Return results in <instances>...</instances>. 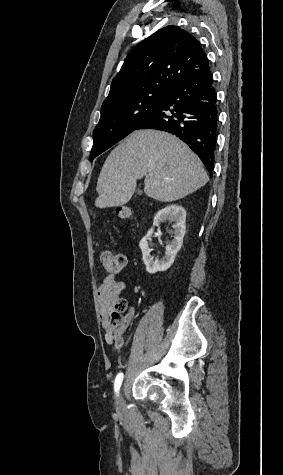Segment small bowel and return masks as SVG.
Instances as JSON below:
<instances>
[{
	"mask_svg": "<svg viewBox=\"0 0 283 475\" xmlns=\"http://www.w3.org/2000/svg\"><path fill=\"white\" fill-rule=\"evenodd\" d=\"M125 289L122 282L113 275L107 276L97 289V301L104 329V340L108 345L121 349L124 344L123 333L134 317V308L130 307L126 315L114 310V304ZM121 318V319H120Z\"/></svg>",
	"mask_w": 283,
	"mask_h": 475,
	"instance_id": "c3829d8e",
	"label": "small bowel"
}]
</instances>
